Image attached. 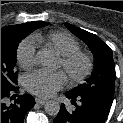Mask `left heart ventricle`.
<instances>
[{"mask_svg": "<svg viewBox=\"0 0 123 123\" xmlns=\"http://www.w3.org/2000/svg\"><path fill=\"white\" fill-rule=\"evenodd\" d=\"M59 66H61V63H60V61H59Z\"/></svg>", "mask_w": 123, "mask_h": 123, "instance_id": "left-heart-ventricle-1", "label": "left heart ventricle"}]
</instances>
